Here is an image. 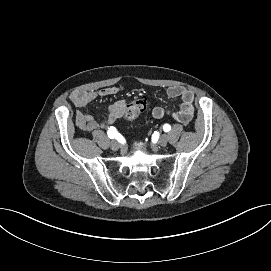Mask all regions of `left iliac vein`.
I'll return each instance as SVG.
<instances>
[{
  "instance_id": "obj_1",
  "label": "left iliac vein",
  "mask_w": 271,
  "mask_h": 271,
  "mask_svg": "<svg viewBox=\"0 0 271 271\" xmlns=\"http://www.w3.org/2000/svg\"><path fill=\"white\" fill-rule=\"evenodd\" d=\"M158 143L161 145V146H166V144L168 143V138L166 135H162L160 136V138L158 139Z\"/></svg>"
}]
</instances>
